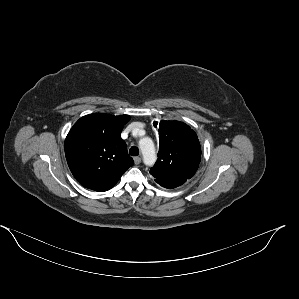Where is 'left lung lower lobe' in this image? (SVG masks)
Listing matches in <instances>:
<instances>
[{
    "label": "left lung lower lobe",
    "mask_w": 299,
    "mask_h": 299,
    "mask_svg": "<svg viewBox=\"0 0 299 299\" xmlns=\"http://www.w3.org/2000/svg\"><path fill=\"white\" fill-rule=\"evenodd\" d=\"M188 178L180 177L173 179H155V181L164 188L173 189L184 184Z\"/></svg>",
    "instance_id": "left-lung-lower-lobe-1"
}]
</instances>
